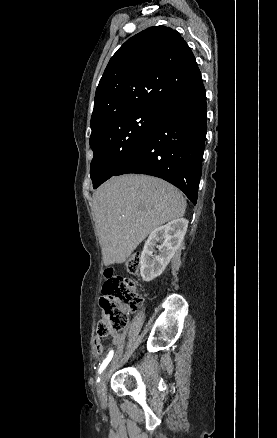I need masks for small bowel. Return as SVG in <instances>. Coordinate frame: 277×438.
I'll list each match as a JSON object with an SVG mask.
<instances>
[{
  "label": "small bowel",
  "mask_w": 277,
  "mask_h": 438,
  "mask_svg": "<svg viewBox=\"0 0 277 438\" xmlns=\"http://www.w3.org/2000/svg\"><path fill=\"white\" fill-rule=\"evenodd\" d=\"M121 341H122V336L119 333L115 332V333L111 334L110 343L112 345H119L121 343ZM92 344H93V346L98 347V346H100L101 341H100V339L95 338V339H93ZM100 352L97 351V353H100Z\"/></svg>",
  "instance_id": "obj_1"
}]
</instances>
